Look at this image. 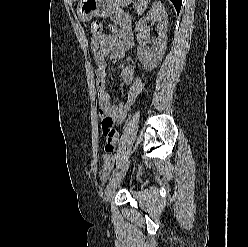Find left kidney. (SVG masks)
<instances>
[{"mask_svg":"<svg viewBox=\"0 0 248 247\" xmlns=\"http://www.w3.org/2000/svg\"><path fill=\"white\" fill-rule=\"evenodd\" d=\"M164 6L160 2L153 4L150 12L146 17L139 20L137 28L145 30L149 21H157L158 37L153 41L151 49H146L144 46H139L137 55L143 67L150 71L157 67L161 62L167 44V26L168 19Z\"/></svg>","mask_w":248,"mask_h":247,"instance_id":"5707ae66","label":"left kidney"}]
</instances>
